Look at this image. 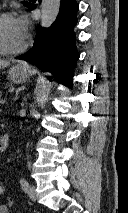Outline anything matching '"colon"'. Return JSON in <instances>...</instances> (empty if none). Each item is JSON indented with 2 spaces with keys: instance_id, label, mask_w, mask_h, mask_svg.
<instances>
[{
  "instance_id": "obj_1",
  "label": "colon",
  "mask_w": 128,
  "mask_h": 213,
  "mask_svg": "<svg viewBox=\"0 0 128 213\" xmlns=\"http://www.w3.org/2000/svg\"><path fill=\"white\" fill-rule=\"evenodd\" d=\"M0 195H5L7 197V200L9 201V204L12 202L7 194L5 187L2 184H0Z\"/></svg>"
}]
</instances>
